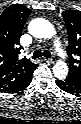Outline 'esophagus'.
I'll return each mask as SVG.
<instances>
[{"label":"esophagus","instance_id":"obj_1","mask_svg":"<svg viewBox=\"0 0 81 124\" xmlns=\"http://www.w3.org/2000/svg\"><path fill=\"white\" fill-rule=\"evenodd\" d=\"M45 61L53 64V63H55L56 59H55V57H51V58H46Z\"/></svg>","mask_w":81,"mask_h":124}]
</instances>
